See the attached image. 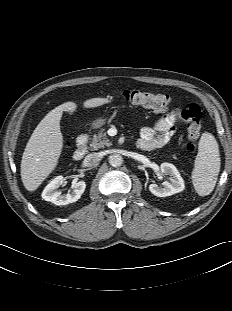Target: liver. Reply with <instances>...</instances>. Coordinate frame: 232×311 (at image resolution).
<instances>
[{
  "mask_svg": "<svg viewBox=\"0 0 232 311\" xmlns=\"http://www.w3.org/2000/svg\"><path fill=\"white\" fill-rule=\"evenodd\" d=\"M107 98H92L83 103L85 108H95L109 103ZM77 109L74 102H65L51 110L33 131L21 161V179L28 191H35L56 168L63 147L60 120L64 111L72 114Z\"/></svg>",
  "mask_w": 232,
  "mask_h": 311,
  "instance_id": "liver-1",
  "label": "liver"
}]
</instances>
